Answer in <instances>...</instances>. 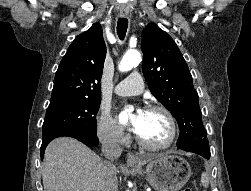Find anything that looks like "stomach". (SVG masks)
Wrapping results in <instances>:
<instances>
[{
  "mask_svg": "<svg viewBox=\"0 0 251 191\" xmlns=\"http://www.w3.org/2000/svg\"><path fill=\"white\" fill-rule=\"evenodd\" d=\"M146 157L141 159V165H132L131 171L145 173L147 181L157 191H178L191 175V167L180 155L172 153H158L147 163L146 169L142 171Z\"/></svg>",
  "mask_w": 251,
  "mask_h": 191,
  "instance_id": "obj_1",
  "label": "stomach"
}]
</instances>
